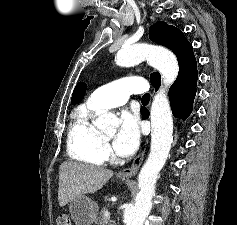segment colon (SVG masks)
I'll use <instances>...</instances> for the list:
<instances>
[{
  "label": "colon",
  "instance_id": "obj_1",
  "mask_svg": "<svg viewBox=\"0 0 237 225\" xmlns=\"http://www.w3.org/2000/svg\"><path fill=\"white\" fill-rule=\"evenodd\" d=\"M56 225H73L68 215H60L56 220Z\"/></svg>",
  "mask_w": 237,
  "mask_h": 225
}]
</instances>
